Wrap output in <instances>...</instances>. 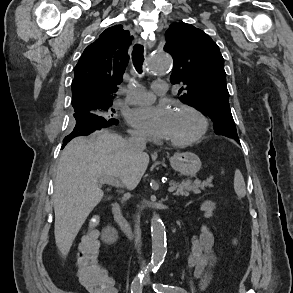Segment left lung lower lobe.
<instances>
[{
    "mask_svg": "<svg viewBox=\"0 0 293 293\" xmlns=\"http://www.w3.org/2000/svg\"><path fill=\"white\" fill-rule=\"evenodd\" d=\"M236 141H237L238 143H240L239 139H236Z\"/></svg>",
    "mask_w": 293,
    "mask_h": 293,
    "instance_id": "0a47b994",
    "label": "left lung lower lobe"
}]
</instances>
